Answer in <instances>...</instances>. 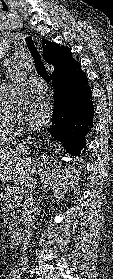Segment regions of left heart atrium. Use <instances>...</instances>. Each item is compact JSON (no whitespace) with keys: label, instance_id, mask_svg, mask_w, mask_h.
<instances>
[{"label":"left heart atrium","instance_id":"1","mask_svg":"<svg viewBox=\"0 0 113 279\" xmlns=\"http://www.w3.org/2000/svg\"><path fill=\"white\" fill-rule=\"evenodd\" d=\"M51 117V108L45 98L38 97L30 105L28 120L35 128L46 126Z\"/></svg>","mask_w":113,"mask_h":279}]
</instances>
